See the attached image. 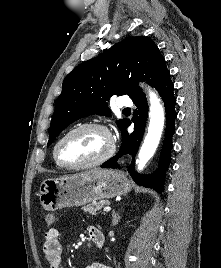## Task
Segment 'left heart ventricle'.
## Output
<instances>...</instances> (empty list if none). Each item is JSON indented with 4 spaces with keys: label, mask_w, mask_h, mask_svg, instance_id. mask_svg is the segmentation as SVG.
<instances>
[{
    "label": "left heart ventricle",
    "mask_w": 221,
    "mask_h": 268,
    "mask_svg": "<svg viewBox=\"0 0 221 268\" xmlns=\"http://www.w3.org/2000/svg\"><path fill=\"white\" fill-rule=\"evenodd\" d=\"M110 146L108 136L98 129H82L68 136L59 148L61 160L82 164L101 157Z\"/></svg>",
    "instance_id": "left-heart-ventricle-1"
}]
</instances>
